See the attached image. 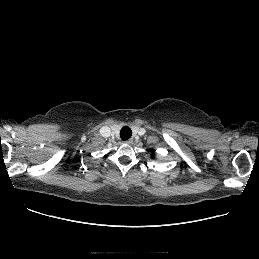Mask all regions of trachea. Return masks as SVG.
I'll list each match as a JSON object with an SVG mask.
<instances>
[{
  "label": "trachea",
  "mask_w": 259,
  "mask_h": 259,
  "mask_svg": "<svg viewBox=\"0 0 259 259\" xmlns=\"http://www.w3.org/2000/svg\"><path fill=\"white\" fill-rule=\"evenodd\" d=\"M131 136H132V130L129 127L125 126L121 129L120 137L122 140L124 141L128 140Z\"/></svg>",
  "instance_id": "1"
}]
</instances>
